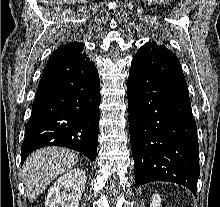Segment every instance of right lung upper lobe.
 I'll list each match as a JSON object with an SVG mask.
<instances>
[{
	"mask_svg": "<svg viewBox=\"0 0 220 207\" xmlns=\"http://www.w3.org/2000/svg\"><path fill=\"white\" fill-rule=\"evenodd\" d=\"M84 45L79 42H69L68 44L58 47L50 56L49 59L61 58L79 53L83 50Z\"/></svg>",
	"mask_w": 220,
	"mask_h": 207,
	"instance_id": "1",
	"label": "right lung upper lobe"
}]
</instances>
